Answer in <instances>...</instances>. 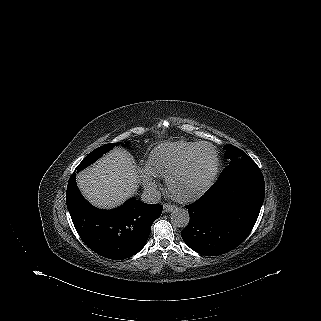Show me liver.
Masks as SVG:
<instances>
[{
	"mask_svg": "<svg viewBox=\"0 0 321 321\" xmlns=\"http://www.w3.org/2000/svg\"><path fill=\"white\" fill-rule=\"evenodd\" d=\"M138 183L134 159L120 148L113 149L77 175V184L84 197L104 209L114 208L134 195Z\"/></svg>",
	"mask_w": 321,
	"mask_h": 321,
	"instance_id": "1",
	"label": "liver"
}]
</instances>
